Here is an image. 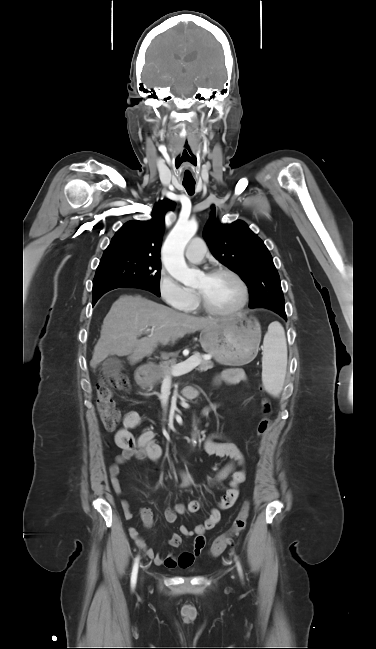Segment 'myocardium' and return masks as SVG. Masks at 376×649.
<instances>
[{
    "mask_svg": "<svg viewBox=\"0 0 376 649\" xmlns=\"http://www.w3.org/2000/svg\"><path fill=\"white\" fill-rule=\"evenodd\" d=\"M222 273L230 275L232 278L235 279V281L240 286L241 300L238 303V305H236L234 308L229 309V310H219V309L213 308L208 303V301L206 300L205 296L203 295V293L201 291L195 290L194 294H195V297H196V300H197V303H198L199 307L201 309H203L205 312H207L208 314H211V315H214V316H220V317L235 316V315L241 313V311L245 308V306L248 303V300H249L248 286H247L246 282L244 281V279L236 271H234V270H232V269H230L228 267L219 266V267L211 268L205 273V275L210 277V276H214V275L222 274Z\"/></svg>",
    "mask_w": 376,
    "mask_h": 649,
    "instance_id": "1",
    "label": "myocardium"
}]
</instances>
